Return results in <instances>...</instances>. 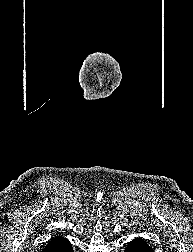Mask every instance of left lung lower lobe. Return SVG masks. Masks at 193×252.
<instances>
[{"mask_svg": "<svg viewBox=\"0 0 193 252\" xmlns=\"http://www.w3.org/2000/svg\"><path fill=\"white\" fill-rule=\"evenodd\" d=\"M125 252H154V250L143 239L138 238L128 243Z\"/></svg>", "mask_w": 193, "mask_h": 252, "instance_id": "1", "label": "left lung lower lobe"}]
</instances>
